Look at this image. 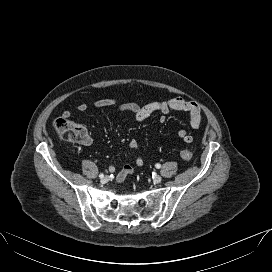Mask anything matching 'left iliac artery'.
<instances>
[{"instance_id":"left-iliac-artery-1","label":"left iliac artery","mask_w":272,"mask_h":272,"mask_svg":"<svg viewBox=\"0 0 272 272\" xmlns=\"http://www.w3.org/2000/svg\"><path fill=\"white\" fill-rule=\"evenodd\" d=\"M155 167L159 169V168L161 167V165H160L159 163H157V164L155 165Z\"/></svg>"}]
</instances>
